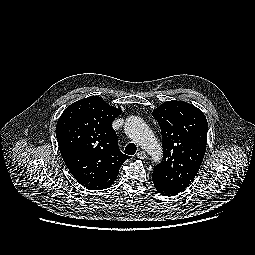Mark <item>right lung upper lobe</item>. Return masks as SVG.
<instances>
[{"instance_id": "1", "label": "right lung upper lobe", "mask_w": 255, "mask_h": 255, "mask_svg": "<svg viewBox=\"0 0 255 255\" xmlns=\"http://www.w3.org/2000/svg\"><path fill=\"white\" fill-rule=\"evenodd\" d=\"M121 110L91 96L67 107L56 125L62 158L73 177L92 190L108 188L129 157L118 147L112 128Z\"/></svg>"}]
</instances>
